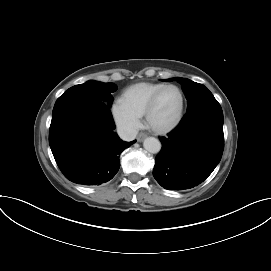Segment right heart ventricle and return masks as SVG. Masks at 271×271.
<instances>
[{"instance_id":"right-heart-ventricle-1","label":"right heart ventricle","mask_w":271,"mask_h":271,"mask_svg":"<svg viewBox=\"0 0 271 271\" xmlns=\"http://www.w3.org/2000/svg\"><path fill=\"white\" fill-rule=\"evenodd\" d=\"M162 83L141 82L126 88L120 97V101L132 113L141 117L151 97L164 86Z\"/></svg>"}]
</instances>
